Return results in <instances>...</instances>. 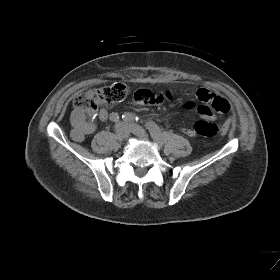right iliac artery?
Listing matches in <instances>:
<instances>
[{"instance_id":"obj_1","label":"right iliac artery","mask_w":280,"mask_h":280,"mask_svg":"<svg viewBox=\"0 0 280 280\" xmlns=\"http://www.w3.org/2000/svg\"><path fill=\"white\" fill-rule=\"evenodd\" d=\"M110 120L114 121V122L118 121L119 120L118 114L117 113H111L110 114Z\"/></svg>"}]
</instances>
